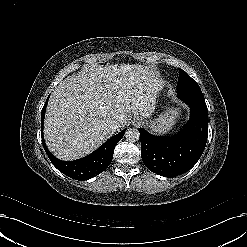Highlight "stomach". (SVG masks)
I'll list each match as a JSON object with an SVG mask.
<instances>
[{
	"instance_id": "stomach-1",
	"label": "stomach",
	"mask_w": 247,
	"mask_h": 247,
	"mask_svg": "<svg viewBox=\"0 0 247 247\" xmlns=\"http://www.w3.org/2000/svg\"><path fill=\"white\" fill-rule=\"evenodd\" d=\"M180 108L170 107L161 113L158 118L146 121V126L156 134H164L170 131L180 118Z\"/></svg>"
}]
</instances>
